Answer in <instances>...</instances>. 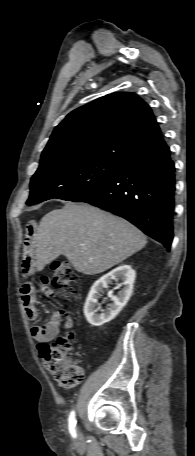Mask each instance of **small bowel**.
<instances>
[{
  "label": "small bowel",
  "instance_id": "obj_1",
  "mask_svg": "<svg viewBox=\"0 0 195 456\" xmlns=\"http://www.w3.org/2000/svg\"><path fill=\"white\" fill-rule=\"evenodd\" d=\"M37 240L36 225L33 221H30L26 226V233L23 246L22 263L21 269L24 276H29L34 268L35 256L34 246ZM39 286L43 292L47 295H52L48 289V280L42 277L39 281ZM21 300L24 306L25 314L28 320H35L38 316V310L36 308V295L35 288L32 284L26 283L21 289ZM73 322L70 318H67L62 324L59 318V313H56L53 318L43 324L37 325L31 328L32 337L42 343L48 342L54 339L60 332L61 328H70Z\"/></svg>",
  "mask_w": 195,
  "mask_h": 456
}]
</instances>
